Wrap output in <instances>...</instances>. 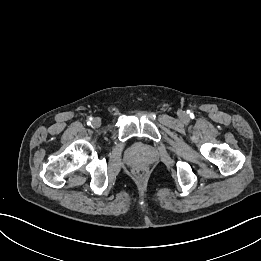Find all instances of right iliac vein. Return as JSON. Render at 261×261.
I'll return each instance as SVG.
<instances>
[{
  "label": "right iliac vein",
  "mask_w": 261,
  "mask_h": 261,
  "mask_svg": "<svg viewBox=\"0 0 261 261\" xmlns=\"http://www.w3.org/2000/svg\"><path fill=\"white\" fill-rule=\"evenodd\" d=\"M92 125L94 126V127H100V125H101V120H100V118H94L93 119V121H92Z\"/></svg>",
  "instance_id": "obj_1"
}]
</instances>
